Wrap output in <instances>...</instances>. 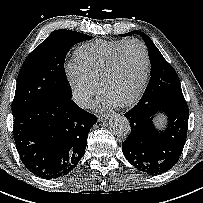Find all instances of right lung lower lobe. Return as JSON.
<instances>
[{"mask_svg": "<svg viewBox=\"0 0 203 203\" xmlns=\"http://www.w3.org/2000/svg\"><path fill=\"white\" fill-rule=\"evenodd\" d=\"M96 116L71 99L46 102L14 117V140L25 167L43 179L70 173L83 156Z\"/></svg>", "mask_w": 203, "mask_h": 203, "instance_id": "1", "label": "right lung lower lobe"}]
</instances>
